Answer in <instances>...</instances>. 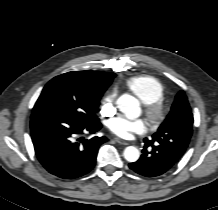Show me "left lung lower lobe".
Instances as JSON below:
<instances>
[{"mask_svg":"<svg viewBox=\"0 0 218 210\" xmlns=\"http://www.w3.org/2000/svg\"><path fill=\"white\" fill-rule=\"evenodd\" d=\"M144 148L140 159L130 163L129 167L134 172L146 176L156 177L170 170L182 157L185 152L174 150H163L161 144L144 139ZM151 147V151L148 150Z\"/></svg>","mask_w":218,"mask_h":210,"instance_id":"1","label":"left lung lower lobe"}]
</instances>
